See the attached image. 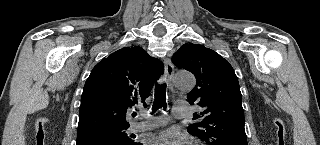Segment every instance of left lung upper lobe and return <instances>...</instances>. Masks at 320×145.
I'll use <instances>...</instances> for the list:
<instances>
[{
	"label": "left lung upper lobe",
	"mask_w": 320,
	"mask_h": 145,
	"mask_svg": "<svg viewBox=\"0 0 320 145\" xmlns=\"http://www.w3.org/2000/svg\"><path fill=\"white\" fill-rule=\"evenodd\" d=\"M173 63L192 72L196 86L188 94L195 113L188 132L209 145H247L242 95L237 76L222 56L203 45L186 43L173 55Z\"/></svg>",
	"instance_id": "5c2ea615"
}]
</instances>
